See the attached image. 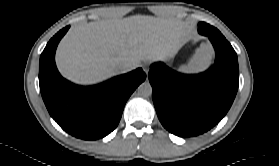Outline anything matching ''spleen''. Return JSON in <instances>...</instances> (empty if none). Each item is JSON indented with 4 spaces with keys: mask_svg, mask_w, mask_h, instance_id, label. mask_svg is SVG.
Segmentation results:
<instances>
[{
    "mask_svg": "<svg viewBox=\"0 0 279 166\" xmlns=\"http://www.w3.org/2000/svg\"><path fill=\"white\" fill-rule=\"evenodd\" d=\"M213 51L211 46L202 44L195 52V55L187 67H183L185 72H202L212 63Z\"/></svg>",
    "mask_w": 279,
    "mask_h": 166,
    "instance_id": "1",
    "label": "spleen"
}]
</instances>
